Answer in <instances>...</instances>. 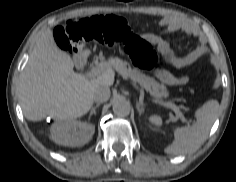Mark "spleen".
Returning a JSON list of instances; mask_svg holds the SVG:
<instances>
[{
  "label": "spleen",
  "mask_w": 236,
  "mask_h": 182,
  "mask_svg": "<svg viewBox=\"0 0 236 182\" xmlns=\"http://www.w3.org/2000/svg\"><path fill=\"white\" fill-rule=\"evenodd\" d=\"M217 109L218 102L216 100L205 103L196 111V122L193 125L178 127L174 130V141L164 151L171 155H181L198 149L209 134L216 119ZM149 122L160 127L162 118L154 115L149 117Z\"/></svg>",
  "instance_id": "spleen-1"
}]
</instances>
